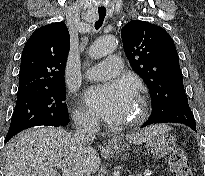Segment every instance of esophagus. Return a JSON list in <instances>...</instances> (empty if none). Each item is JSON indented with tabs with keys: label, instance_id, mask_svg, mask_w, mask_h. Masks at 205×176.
Instances as JSON below:
<instances>
[{
	"label": "esophagus",
	"instance_id": "esophagus-1",
	"mask_svg": "<svg viewBox=\"0 0 205 176\" xmlns=\"http://www.w3.org/2000/svg\"><path fill=\"white\" fill-rule=\"evenodd\" d=\"M104 146H105V147H111V146H112V143H111V142H105V143H104Z\"/></svg>",
	"mask_w": 205,
	"mask_h": 176
}]
</instances>
